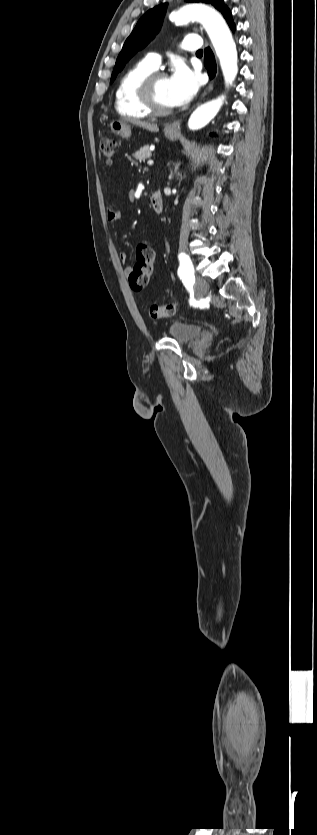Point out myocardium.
I'll return each instance as SVG.
<instances>
[{
  "label": "myocardium",
  "instance_id": "obj_1",
  "mask_svg": "<svg viewBox=\"0 0 317 835\" xmlns=\"http://www.w3.org/2000/svg\"><path fill=\"white\" fill-rule=\"evenodd\" d=\"M161 78H166V75L163 72L154 71L146 76L138 87L141 103L154 116H165L173 112V107H164L157 101L155 87Z\"/></svg>",
  "mask_w": 317,
  "mask_h": 835
}]
</instances>
